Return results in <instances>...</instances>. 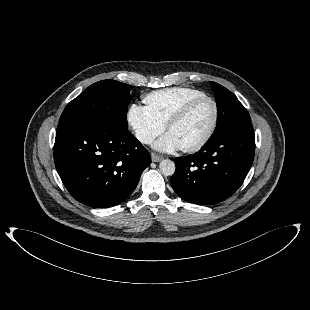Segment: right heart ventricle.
<instances>
[{"mask_svg":"<svg viewBox=\"0 0 310 310\" xmlns=\"http://www.w3.org/2000/svg\"><path fill=\"white\" fill-rule=\"evenodd\" d=\"M205 95L202 91L173 87L153 91L144 97L146 107L151 114L164 125L189 100Z\"/></svg>","mask_w":310,"mask_h":310,"instance_id":"1","label":"right heart ventricle"}]
</instances>
